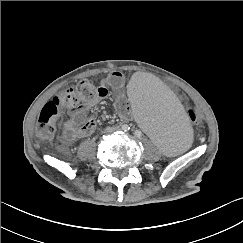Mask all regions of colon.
<instances>
[{"instance_id":"5ec220e1","label":"colon","mask_w":243,"mask_h":243,"mask_svg":"<svg viewBox=\"0 0 243 243\" xmlns=\"http://www.w3.org/2000/svg\"><path fill=\"white\" fill-rule=\"evenodd\" d=\"M97 87L93 83L83 80L54 96L41 109L36 126V135L41 140H50L55 134V123L60 111L80 108L98 99L96 96ZM184 111L191 126L194 128L199 127L202 119L198 110L187 105Z\"/></svg>"}]
</instances>
